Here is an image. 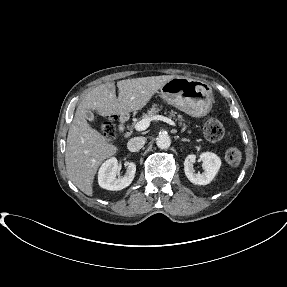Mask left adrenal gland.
Segmentation results:
<instances>
[{"label": "left adrenal gland", "mask_w": 287, "mask_h": 287, "mask_svg": "<svg viewBox=\"0 0 287 287\" xmlns=\"http://www.w3.org/2000/svg\"><path fill=\"white\" fill-rule=\"evenodd\" d=\"M179 137L177 136V137H175V139L177 140ZM181 141L182 142H190V140L189 139H185V138H183V139H181Z\"/></svg>", "instance_id": "a2214340"}]
</instances>
